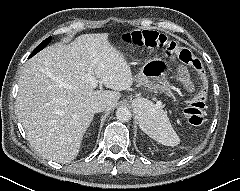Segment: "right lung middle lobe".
<instances>
[{"label":"right lung middle lobe","mask_w":240,"mask_h":191,"mask_svg":"<svg viewBox=\"0 0 240 191\" xmlns=\"http://www.w3.org/2000/svg\"><path fill=\"white\" fill-rule=\"evenodd\" d=\"M51 41V37L45 39L40 45H38L34 51L32 52V54L30 55V57H32L33 55H35L37 52H39L40 50H42L49 42ZM29 57V58H30Z\"/></svg>","instance_id":"dd1d6c3e"}]
</instances>
